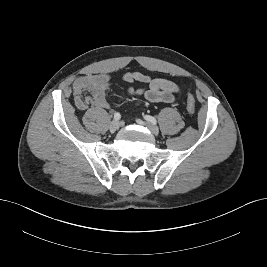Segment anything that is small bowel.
<instances>
[{"mask_svg":"<svg viewBox=\"0 0 267 267\" xmlns=\"http://www.w3.org/2000/svg\"><path fill=\"white\" fill-rule=\"evenodd\" d=\"M123 81H134L146 84V87L128 88L129 95L135 98L136 104L142 100L154 103H172L180 92L179 87L172 81L162 78H151L141 71H130L123 75ZM110 86V75L107 73L88 74L78 77L73 83V94L76 107L85 111L90 106L97 109H107L109 103L106 91ZM88 93V95H86Z\"/></svg>","mask_w":267,"mask_h":267,"instance_id":"1","label":"small bowel"}]
</instances>
